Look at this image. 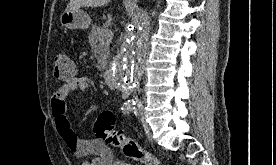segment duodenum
Returning a JSON list of instances; mask_svg holds the SVG:
<instances>
[{
    "label": "duodenum",
    "instance_id": "duodenum-1",
    "mask_svg": "<svg viewBox=\"0 0 276 165\" xmlns=\"http://www.w3.org/2000/svg\"><path fill=\"white\" fill-rule=\"evenodd\" d=\"M104 77H105V81L108 86H110L112 88L115 87L114 79L112 77V74L109 71H105Z\"/></svg>",
    "mask_w": 276,
    "mask_h": 165
}]
</instances>
